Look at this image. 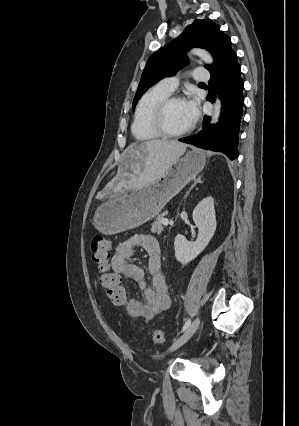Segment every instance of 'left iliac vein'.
<instances>
[{
    "mask_svg": "<svg viewBox=\"0 0 299 426\" xmlns=\"http://www.w3.org/2000/svg\"><path fill=\"white\" fill-rule=\"evenodd\" d=\"M199 324L200 317H196L194 321L189 325V327L185 330V332L173 342L168 351L171 353L181 347L183 344H185L196 332L199 327Z\"/></svg>",
    "mask_w": 299,
    "mask_h": 426,
    "instance_id": "4c4485c4",
    "label": "left iliac vein"
}]
</instances>
